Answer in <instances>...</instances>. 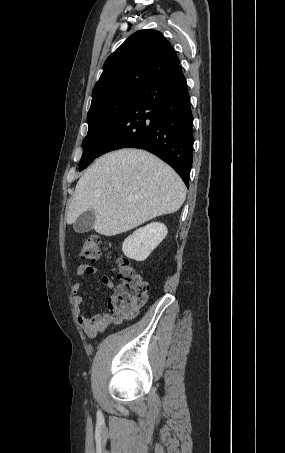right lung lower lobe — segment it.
<instances>
[{"mask_svg":"<svg viewBox=\"0 0 285 453\" xmlns=\"http://www.w3.org/2000/svg\"><path fill=\"white\" fill-rule=\"evenodd\" d=\"M192 126L187 83L178 64L144 84L100 154L125 147L147 150L168 163L188 187Z\"/></svg>","mask_w":285,"mask_h":453,"instance_id":"1","label":"right lung lower lobe"}]
</instances>
